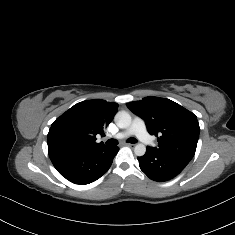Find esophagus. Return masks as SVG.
<instances>
[{
    "mask_svg": "<svg viewBox=\"0 0 235 235\" xmlns=\"http://www.w3.org/2000/svg\"><path fill=\"white\" fill-rule=\"evenodd\" d=\"M124 145L132 149L135 147V144H130V143H124Z\"/></svg>",
    "mask_w": 235,
    "mask_h": 235,
    "instance_id": "esophagus-1",
    "label": "esophagus"
}]
</instances>
